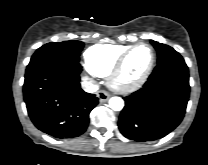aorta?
Wrapping results in <instances>:
<instances>
[{"mask_svg":"<svg viewBox=\"0 0 208 165\" xmlns=\"http://www.w3.org/2000/svg\"><path fill=\"white\" fill-rule=\"evenodd\" d=\"M109 107L114 111H121L124 107V101L120 97H112L109 100Z\"/></svg>","mask_w":208,"mask_h":165,"instance_id":"1","label":"aorta"}]
</instances>
